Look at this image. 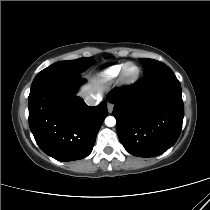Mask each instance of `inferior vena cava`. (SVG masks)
<instances>
[{"label":"inferior vena cava","instance_id":"1","mask_svg":"<svg viewBox=\"0 0 210 210\" xmlns=\"http://www.w3.org/2000/svg\"><path fill=\"white\" fill-rule=\"evenodd\" d=\"M99 101H100L99 98L94 95H89L85 97V103L89 106H95L99 103Z\"/></svg>","mask_w":210,"mask_h":210}]
</instances>
